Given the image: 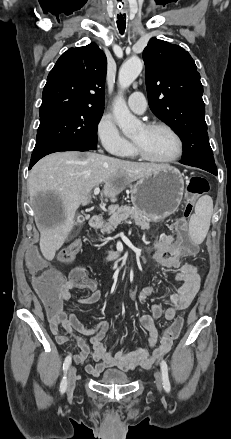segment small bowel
<instances>
[{"label": "small bowel", "instance_id": "c3829d8e", "mask_svg": "<svg viewBox=\"0 0 231 439\" xmlns=\"http://www.w3.org/2000/svg\"><path fill=\"white\" fill-rule=\"evenodd\" d=\"M178 250H182L179 243L174 242L171 236H163L155 245L154 258L157 264L166 269H177L175 279L181 283L176 292L168 295V308L163 311L160 304H152L149 313H143L140 322L143 328L148 332L149 348H139L130 352L109 351L104 340L107 337L109 324L102 321L92 328H86L73 313H67L64 309V302L71 299V291L74 288H80L71 278L69 280H60L59 301L60 308L56 311L59 313L57 320H50V328L59 345H64L71 337L77 344L79 352L74 355L77 363L84 362L88 357L95 361V364L86 366V371L92 376H98L106 368L116 367L123 371H134L137 368H149L161 356L168 353L172 347V341L161 338L158 341V330L154 320L164 314L167 320H173L179 311L185 310L193 301L200 286V276L194 264L176 261ZM167 287L160 283H141L137 296L140 301H145L148 297H157L162 289ZM101 298V291L93 289L87 297L78 298L80 304H94ZM60 328H63L69 336L61 334ZM78 334L90 336L87 343Z\"/></svg>", "mask_w": 231, "mask_h": 439}]
</instances>
